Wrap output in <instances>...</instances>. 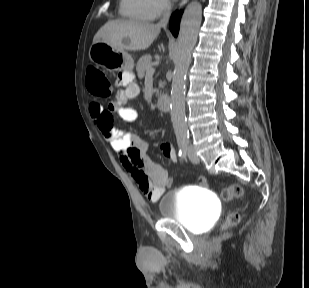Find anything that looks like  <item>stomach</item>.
Returning <instances> with one entry per match:
<instances>
[{
	"label": "stomach",
	"instance_id": "obj_1",
	"mask_svg": "<svg viewBox=\"0 0 309 288\" xmlns=\"http://www.w3.org/2000/svg\"><path fill=\"white\" fill-rule=\"evenodd\" d=\"M90 60L109 71H132L134 60L125 51L115 49L103 41H95L89 49Z\"/></svg>",
	"mask_w": 309,
	"mask_h": 288
}]
</instances>
